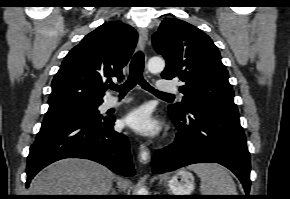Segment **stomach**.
<instances>
[{"label":"stomach","mask_w":290,"mask_h":199,"mask_svg":"<svg viewBox=\"0 0 290 199\" xmlns=\"http://www.w3.org/2000/svg\"><path fill=\"white\" fill-rule=\"evenodd\" d=\"M169 190L172 195H190L194 190V176L186 171H177L168 181Z\"/></svg>","instance_id":"obj_1"}]
</instances>
